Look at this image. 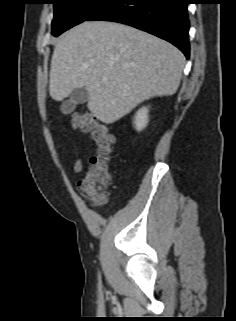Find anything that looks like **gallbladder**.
Returning <instances> with one entry per match:
<instances>
[{"label":"gallbladder","mask_w":236,"mask_h":321,"mask_svg":"<svg viewBox=\"0 0 236 321\" xmlns=\"http://www.w3.org/2000/svg\"><path fill=\"white\" fill-rule=\"evenodd\" d=\"M88 100V91L86 87L74 89L69 99L62 103L61 112L63 114H69L74 111L77 104H83Z\"/></svg>","instance_id":"gallbladder-1"}]
</instances>
